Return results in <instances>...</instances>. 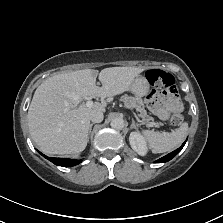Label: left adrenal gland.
Wrapping results in <instances>:
<instances>
[{
    "mask_svg": "<svg viewBox=\"0 0 223 223\" xmlns=\"http://www.w3.org/2000/svg\"><path fill=\"white\" fill-rule=\"evenodd\" d=\"M131 129H137V124L135 123L134 119L132 118V124L130 126Z\"/></svg>",
    "mask_w": 223,
    "mask_h": 223,
    "instance_id": "left-adrenal-gland-1",
    "label": "left adrenal gland"
}]
</instances>
